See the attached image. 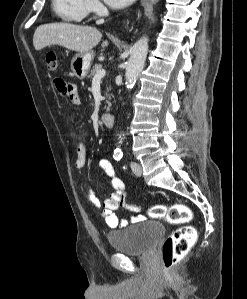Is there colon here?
Returning a JSON list of instances; mask_svg holds the SVG:
<instances>
[{"label":"colon","mask_w":247,"mask_h":299,"mask_svg":"<svg viewBox=\"0 0 247 299\" xmlns=\"http://www.w3.org/2000/svg\"><path fill=\"white\" fill-rule=\"evenodd\" d=\"M45 63L49 72L58 69V58L54 52H48ZM152 218H161L172 225H182L174 230L162 245V263L166 270H170L179 263L189 251L196 239V230L185 225L191 219L190 209L182 203L171 205H155L148 210Z\"/></svg>","instance_id":"obj_1"}]
</instances>
